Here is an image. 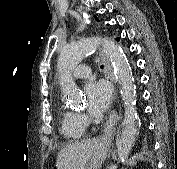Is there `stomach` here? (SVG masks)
Segmentation results:
<instances>
[{"label":"stomach","instance_id":"0dacf381","mask_svg":"<svg viewBox=\"0 0 177 169\" xmlns=\"http://www.w3.org/2000/svg\"><path fill=\"white\" fill-rule=\"evenodd\" d=\"M109 149L110 145L108 142H99L85 169H100L108 155Z\"/></svg>","mask_w":177,"mask_h":169}]
</instances>
